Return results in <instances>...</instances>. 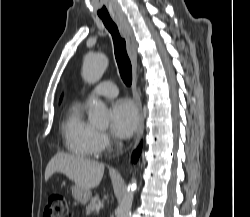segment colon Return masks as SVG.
Listing matches in <instances>:
<instances>
[{
  "label": "colon",
  "instance_id": "5ec220e1",
  "mask_svg": "<svg viewBox=\"0 0 250 217\" xmlns=\"http://www.w3.org/2000/svg\"><path fill=\"white\" fill-rule=\"evenodd\" d=\"M43 217H70L67 201L62 194L53 193L49 196Z\"/></svg>",
  "mask_w": 250,
  "mask_h": 217
}]
</instances>
